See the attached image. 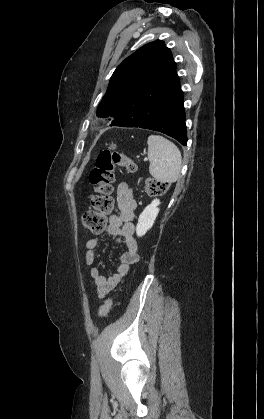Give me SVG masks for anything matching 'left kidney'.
Returning <instances> with one entry per match:
<instances>
[{"label": "left kidney", "instance_id": "left-kidney-1", "mask_svg": "<svg viewBox=\"0 0 264 419\" xmlns=\"http://www.w3.org/2000/svg\"><path fill=\"white\" fill-rule=\"evenodd\" d=\"M160 201L155 199L150 205H148L138 218L136 226V234L141 237L153 226L155 219L159 213Z\"/></svg>", "mask_w": 264, "mask_h": 419}]
</instances>
